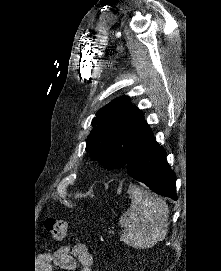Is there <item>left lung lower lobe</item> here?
Listing matches in <instances>:
<instances>
[{
  "label": "left lung lower lobe",
  "mask_w": 221,
  "mask_h": 271,
  "mask_svg": "<svg viewBox=\"0 0 221 271\" xmlns=\"http://www.w3.org/2000/svg\"><path fill=\"white\" fill-rule=\"evenodd\" d=\"M125 168L135 180L161 196L177 200L176 176L166 161V151L152 133L130 155Z\"/></svg>",
  "instance_id": "1"
}]
</instances>
